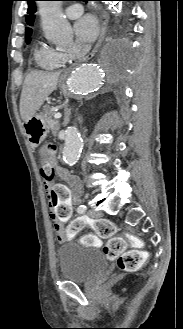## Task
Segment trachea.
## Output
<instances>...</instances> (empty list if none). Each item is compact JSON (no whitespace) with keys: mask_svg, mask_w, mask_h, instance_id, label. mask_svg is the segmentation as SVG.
Listing matches in <instances>:
<instances>
[{"mask_svg":"<svg viewBox=\"0 0 183 329\" xmlns=\"http://www.w3.org/2000/svg\"><path fill=\"white\" fill-rule=\"evenodd\" d=\"M80 1H84V2H87V1H89V0H80Z\"/></svg>","mask_w":183,"mask_h":329,"instance_id":"1","label":"trachea"}]
</instances>
